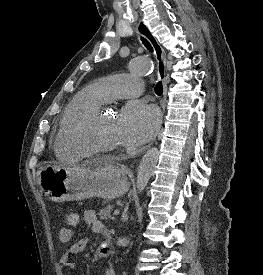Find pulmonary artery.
<instances>
[{
  "label": "pulmonary artery",
  "mask_w": 263,
  "mask_h": 275,
  "mask_svg": "<svg viewBox=\"0 0 263 275\" xmlns=\"http://www.w3.org/2000/svg\"><path fill=\"white\" fill-rule=\"evenodd\" d=\"M98 85L106 99L132 98L140 96L143 91L142 81L132 74H116L102 78Z\"/></svg>",
  "instance_id": "1"
}]
</instances>
